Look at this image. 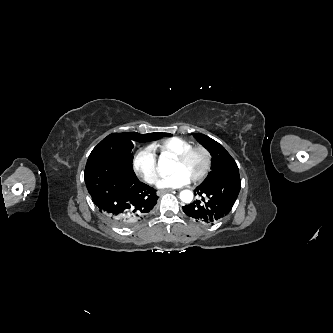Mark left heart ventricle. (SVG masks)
<instances>
[{
	"label": "left heart ventricle",
	"instance_id": "b2bd125f",
	"mask_svg": "<svg viewBox=\"0 0 333 333\" xmlns=\"http://www.w3.org/2000/svg\"><path fill=\"white\" fill-rule=\"evenodd\" d=\"M204 166L205 156L203 155V153L194 152L183 163L174 161L172 171L174 173L177 171H182L192 180L202 172Z\"/></svg>",
	"mask_w": 333,
	"mask_h": 333
}]
</instances>
